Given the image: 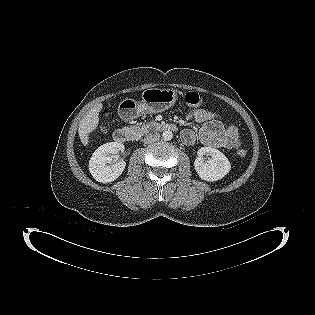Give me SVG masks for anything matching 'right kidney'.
I'll use <instances>...</instances> for the list:
<instances>
[{"instance_id": "1", "label": "right kidney", "mask_w": 315, "mask_h": 315, "mask_svg": "<svg viewBox=\"0 0 315 315\" xmlns=\"http://www.w3.org/2000/svg\"><path fill=\"white\" fill-rule=\"evenodd\" d=\"M122 150H124L122 143L109 142L93 153L89 161V171L96 181L110 183L122 174L126 162L116 160V154Z\"/></svg>"}]
</instances>
